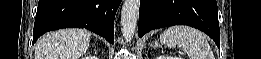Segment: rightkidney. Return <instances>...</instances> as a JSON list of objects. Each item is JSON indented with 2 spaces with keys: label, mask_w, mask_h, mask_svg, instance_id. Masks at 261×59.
Returning a JSON list of instances; mask_svg holds the SVG:
<instances>
[{
  "label": "right kidney",
  "mask_w": 261,
  "mask_h": 59,
  "mask_svg": "<svg viewBox=\"0 0 261 59\" xmlns=\"http://www.w3.org/2000/svg\"><path fill=\"white\" fill-rule=\"evenodd\" d=\"M88 59H97V58H95V57H89Z\"/></svg>",
  "instance_id": "right-kidney-1"
}]
</instances>
